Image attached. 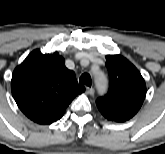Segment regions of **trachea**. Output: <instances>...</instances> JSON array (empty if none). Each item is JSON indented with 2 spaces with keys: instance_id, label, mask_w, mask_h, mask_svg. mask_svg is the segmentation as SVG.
Masks as SVG:
<instances>
[{
  "instance_id": "trachea-1",
  "label": "trachea",
  "mask_w": 165,
  "mask_h": 154,
  "mask_svg": "<svg viewBox=\"0 0 165 154\" xmlns=\"http://www.w3.org/2000/svg\"><path fill=\"white\" fill-rule=\"evenodd\" d=\"M79 82L90 87L92 84L91 76L88 73H84L81 75Z\"/></svg>"
}]
</instances>
